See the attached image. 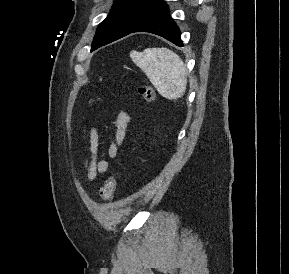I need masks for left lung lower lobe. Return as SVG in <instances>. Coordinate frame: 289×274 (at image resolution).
<instances>
[{"instance_id": "left-lung-lower-lobe-1", "label": "left lung lower lobe", "mask_w": 289, "mask_h": 274, "mask_svg": "<svg viewBox=\"0 0 289 274\" xmlns=\"http://www.w3.org/2000/svg\"><path fill=\"white\" fill-rule=\"evenodd\" d=\"M133 32L153 33L164 37L179 47L183 46L180 30L171 18L166 4L158 8L130 33Z\"/></svg>"}]
</instances>
